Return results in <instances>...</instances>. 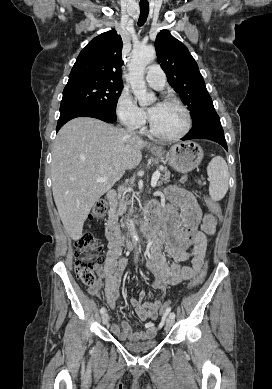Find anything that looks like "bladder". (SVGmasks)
I'll return each instance as SVG.
<instances>
[{
  "instance_id": "bladder-1",
  "label": "bladder",
  "mask_w": 272,
  "mask_h": 389,
  "mask_svg": "<svg viewBox=\"0 0 272 389\" xmlns=\"http://www.w3.org/2000/svg\"><path fill=\"white\" fill-rule=\"evenodd\" d=\"M122 345L128 351H131L134 353H142V352H147V351L155 348L158 345V341L156 339H151V340H147L144 342L124 341V342H122Z\"/></svg>"
}]
</instances>
